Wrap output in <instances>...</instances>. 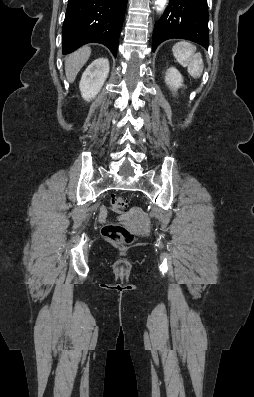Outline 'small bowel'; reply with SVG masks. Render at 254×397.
<instances>
[{
	"instance_id": "1",
	"label": "small bowel",
	"mask_w": 254,
	"mask_h": 397,
	"mask_svg": "<svg viewBox=\"0 0 254 397\" xmlns=\"http://www.w3.org/2000/svg\"><path fill=\"white\" fill-rule=\"evenodd\" d=\"M107 216H108V211L105 206H102L100 208V213H99V220L101 222H106L107 221ZM123 219H131L135 218L137 219L138 223H143L144 222V216L143 213L139 209H134L131 212L125 214L122 216Z\"/></svg>"
}]
</instances>
